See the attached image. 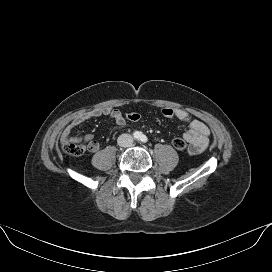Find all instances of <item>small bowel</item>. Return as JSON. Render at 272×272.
Segmentation results:
<instances>
[{"instance_id":"small-bowel-1","label":"small bowel","mask_w":272,"mask_h":272,"mask_svg":"<svg viewBox=\"0 0 272 272\" xmlns=\"http://www.w3.org/2000/svg\"><path fill=\"white\" fill-rule=\"evenodd\" d=\"M174 113V117L186 126V131L183 134V140L188 145V152L192 155L203 152L209 145L210 129L208 126L205 123L192 118L191 115L184 109L176 108L174 109ZM100 116H108L112 118L118 126H124L126 124V120L119 110L109 107L97 108L77 116L63 130L61 142L63 144L74 142L81 144L89 152H97L100 148V144L93 137V135L88 134L85 136H74L73 131L84 122Z\"/></svg>"}]
</instances>
